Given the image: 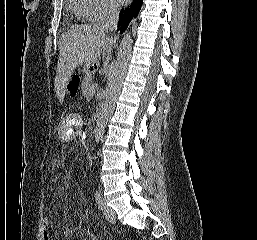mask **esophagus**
Listing matches in <instances>:
<instances>
[{
	"mask_svg": "<svg viewBox=\"0 0 257 240\" xmlns=\"http://www.w3.org/2000/svg\"><path fill=\"white\" fill-rule=\"evenodd\" d=\"M118 39V35H115L114 37L111 38V41H116Z\"/></svg>",
	"mask_w": 257,
	"mask_h": 240,
	"instance_id": "34e87169",
	"label": "esophagus"
}]
</instances>
